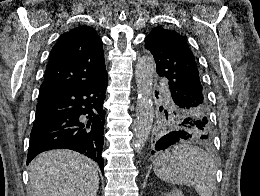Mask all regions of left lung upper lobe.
I'll list each match as a JSON object with an SVG mask.
<instances>
[{
  "instance_id": "obj_1",
  "label": "left lung upper lobe",
  "mask_w": 260,
  "mask_h": 196,
  "mask_svg": "<svg viewBox=\"0 0 260 196\" xmlns=\"http://www.w3.org/2000/svg\"><path fill=\"white\" fill-rule=\"evenodd\" d=\"M145 49L153 55L158 75L169 80L171 93L168 104L160 107L161 114L151 131V153L156 143L173 131L187 132V139L210 142L213 134L209 103L197 60L185 37L157 26L146 37Z\"/></svg>"
}]
</instances>
